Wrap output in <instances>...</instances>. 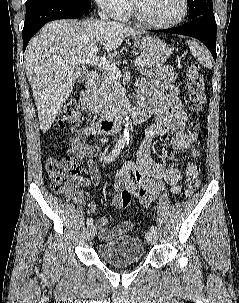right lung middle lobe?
I'll list each match as a JSON object with an SVG mask.
<instances>
[{
  "label": "right lung middle lobe",
  "mask_w": 239,
  "mask_h": 303,
  "mask_svg": "<svg viewBox=\"0 0 239 303\" xmlns=\"http://www.w3.org/2000/svg\"><path fill=\"white\" fill-rule=\"evenodd\" d=\"M40 1H46V0H27V5L26 6H29L32 3L40 2ZM56 1H81V0H56ZM84 1H89V0H84Z\"/></svg>",
  "instance_id": "obj_1"
}]
</instances>
